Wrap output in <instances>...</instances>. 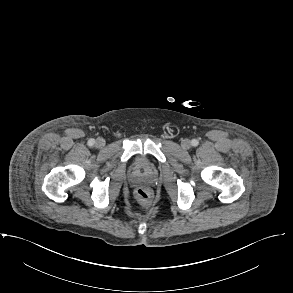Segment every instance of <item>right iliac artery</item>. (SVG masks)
Wrapping results in <instances>:
<instances>
[{"label":"right iliac artery","mask_w":293,"mask_h":293,"mask_svg":"<svg viewBox=\"0 0 293 293\" xmlns=\"http://www.w3.org/2000/svg\"><path fill=\"white\" fill-rule=\"evenodd\" d=\"M95 144V140L94 139H90L89 141H88V145L89 146H93Z\"/></svg>","instance_id":"1"}]
</instances>
